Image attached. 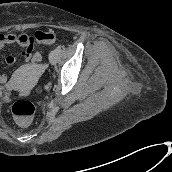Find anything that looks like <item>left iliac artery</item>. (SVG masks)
I'll return each mask as SVG.
<instances>
[{
  "mask_svg": "<svg viewBox=\"0 0 172 172\" xmlns=\"http://www.w3.org/2000/svg\"><path fill=\"white\" fill-rule=\"evenodd\" d=\"M55 50H56L58 53H60L61 50H62V47H61V46H58Z\"/></svg>",
  "mask_w": 172,
  "mask_h": 172,
  "instance_id": "left-iliac-artery-1",
  "label": "left iliac artery"
}]
</instances>
